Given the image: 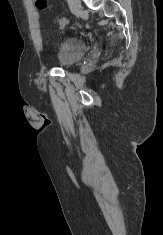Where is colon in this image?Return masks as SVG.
<instances>
[{
	"instance_id": "5ec220e1",
	"label": "colon",
	"mask_w": 163,
	"mask_h": 235,
	"mask_svg": "<svg viewBox=\"0 0 163 235\" xmlns=\"http://www.w3.org/2000/svg\"><path fill=\"white\" fill-rule=\"evenodd\" d=\"M35 2L39 9L45 10L47 8V0H35ZM55 23L59 29H63L67 26L68 20L65 17H57Z\"/></svg>"
}]
</instances>
